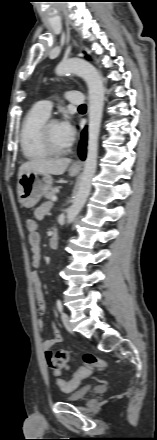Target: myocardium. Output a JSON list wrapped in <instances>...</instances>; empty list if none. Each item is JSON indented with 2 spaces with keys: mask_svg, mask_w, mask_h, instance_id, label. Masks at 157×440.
Returning a JSON list of instances; mask_svg holds the SVG:
<instances>
[{
  "mask_svg": "<svg viewBox=\"0 0 157 440\" xmlns=\"http://www.w3.org/2000/svg\"><path fill=\"white\" fill-rule=\"evenodd\" d=\"M53 123H57V121L54 119H47L41 125L40 131H39L40 140H41V143L43 144V146L45 147V149L49 152V154L62 155V154L67 153L70 150V146H67L65 148H59V147H56L52 143L51 138H50L49 129Z\"/></svg>",
  "mask_w": 157,
  "mask_h": 440,
  "instance_id": "f54148a6",
  "label": "myocardium"
}]
</instances>
